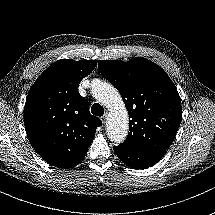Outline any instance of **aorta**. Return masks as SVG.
<instances>
[{"mask_svg": "<svg viewBox=\"0 0 215 215\" xmlns=\"http://www.w3.org/2000/svg\"><path fill=\"white\" fill-rule=\"evenodd\" d=\"M93 96L108 107L111 118L108 122V137L115 143H122L129 130V116L118 90L110 83L100 81L92 88Z\"/></svg>", "mask_w": 215, "mask_h": 215, "instance_id": "aorta-1", "label": "aorta"}]
</instances>
